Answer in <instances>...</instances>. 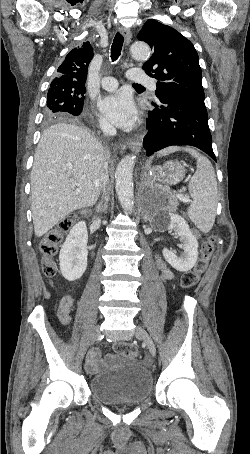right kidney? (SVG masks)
Returning <instances> with one entry per match:
<instances>
[{
    "mask_svg": "<svg viewBox=\"0 0 250 454\" xmlns=\"http://www.w3.org/2000/svg\"><path fill=\"white\" fill-rule=\"evenodd\" d=\"M88 233L84 221L78 222L70 230L59 254L60 271L68 281H75L87 268Z\"/></svg>",
    "mask_w": 250,
    "mask_h": 454,
    "instance_id": "1",
    "label": "right kidney"
}]
</instances>
